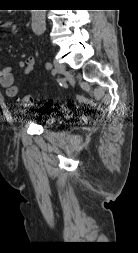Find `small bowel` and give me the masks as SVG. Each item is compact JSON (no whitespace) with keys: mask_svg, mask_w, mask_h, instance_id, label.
Instances as JSON below:
<instances>
[{"mask_svg":"<svg viewBox=\"0 0 138 253\" xmlns=\"http://www.w3.org/2000/svg\"><path fill=\"white\" fill-rule=\"evenodd\" d=\"M35 66V58L28 56L24 61H18L11 66H0V85L4 88L8 97H15L19 93V87L15 84L14 70H23L25 75L32 72Z\"/></svg>","mask_w":138,"mask_h":253,"instance_id":"1","label":"small bowel"}]
</instances>
